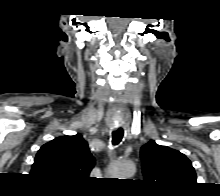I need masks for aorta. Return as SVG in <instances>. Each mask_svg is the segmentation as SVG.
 <instances>
[{"label":"aorta","mask_w":220,"mask_h":196,"mask_svg":"<svg viewBox=\"0 0 220 196\" xmlns=\"http://www.w3.org/2000/svg\"><path fill=\"white\" fill-rule=\"evenodd\" d=\"M135 169V164L130 160H117L110 167L112 175L119 179L131 177L135 173Z\"/></svg>","instance_id":"obj_1"}]
</instances>
